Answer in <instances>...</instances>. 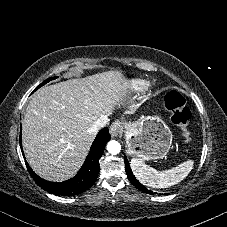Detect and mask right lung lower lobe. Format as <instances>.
<instances>
[{"label":"right lung lower lobe","mask_w":227,"mask_h":227,"mask_svg":"<svg viewBox=\"0 0 227 227\" xmlns=\"http://www.w3.org/2000/svg\"><path fill=\"white\" fill-rule=\"evenodd\" d=\"M109 140L110 134L108 128L102 129L94 140L90 152L77 175L65 182L54 183L46 181L35 174L27 162L26 166L35 182L47 192L62 196H74L89 189L96 181L99 172V159ZM20 146L22 147L21 137Z\"/></svg>","instance_id":"obj_1"}]
</instances>
